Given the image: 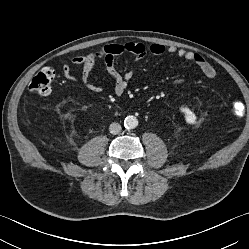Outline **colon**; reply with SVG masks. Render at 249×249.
Instances as JSON below:
<instances>
[{
  "label": "colon",
  "instance_id": "obj_1",
  "mask_svg": "<svg viewBox=\"0 0 249 249\" xmlns=\"http://www.w3.org/2000/svg\"><path fill=\"white\" fill-rule=\"evenodd\" d=\"M54 78L55 71L53 68H43L33 77L29 89L38 95H48L51 92ZM232 111L236 116H240L244 111V105L240 101H235L232 105Z\"/></svg>",
  "mask_w": 249,
  "mask_h": 249
}]
</instances>
